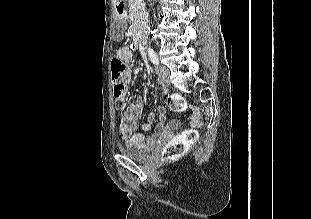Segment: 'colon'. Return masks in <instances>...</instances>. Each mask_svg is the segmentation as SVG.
<instances>
[{
	"mask_svg": "<svg viewBox=\"0 0 311 219\" xmlns=\"http://www.w3.org/2000/svg\"><path fill=\"white\" fill-rule=\"evenodd\" d=\"M113 94L117 109H122L126 100V85L124 81L125 65L117 57L111 63ZM167 103L171 110L180 112L186 109V102L181 96H169ZM166 115V112H165ZM198 140V131L195 128L185 130L181 135L171 139L162 149V160H172L184 155L189 147Z\"/></svg>",
	"mask_w": 311,
	"mask_h": 219,
	"instance_id": "5ec220e1",
	"label": "colon"
}]
</instances>
